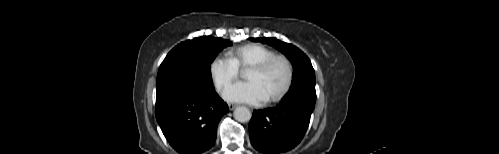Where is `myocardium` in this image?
Listing matches in <instances>:
<instances>
[{"instance_id": "obj_1", "label": "myocardium", "mask_w": 499, "mask_h": 154, "mask_svg": "<svg viewBox=\"0 0 499 154\" xmlns=\"http://www.w3.org/2000/svg\"><path fill=\"white\" fill-rule=\"evenodd\" d=\"M276 61H281L285 65V67H286V80H285L283 87L280 89L279 92H277L273 96L266 99V102H268V103L279 101L289 91V89L292 85V82H293V77H294V69H293V64H292L291 60L286 55L273 54L272 56L262 60L261 62H259L257 64H254L248 68V70H255V71L262 72V71L267 70Z\"/></svg>"}]
</instances>
